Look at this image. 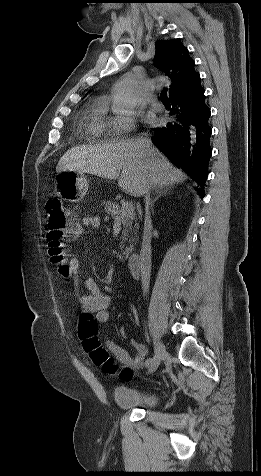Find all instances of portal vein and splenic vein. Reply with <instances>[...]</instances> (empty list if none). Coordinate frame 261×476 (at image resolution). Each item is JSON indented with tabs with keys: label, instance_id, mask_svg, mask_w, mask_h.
Instances as JSON below:
<instances>
[{
	"label": "portal vein and splenic vein",
	"instance_id": "obj_1",
	"mask_svg": "<svg viewBox=\"0 0 261 476\" xmlns=\"http://www.w3.org/2000/svg\"><path fill=\"white\" fill-rule=\"evenodd\" d=\"M133 213H134L133 204L131 202H128V201H123L120 216L117 217L116 220H119L120 218H124L128 215H132Z\"/></svg>",
	"mask_w": 261,
	"mask_h": 476
}]
</instances>
